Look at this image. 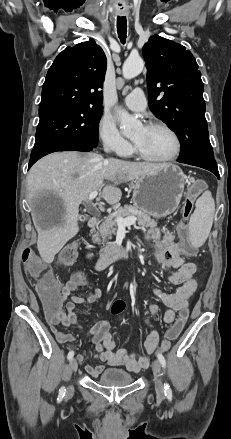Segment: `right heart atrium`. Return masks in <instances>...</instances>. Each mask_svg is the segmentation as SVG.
<instances>
[{"mask_svg": "<svg viewBox=\"0 0 231 439\" xmlns=\"http://www.w3.org/2000/svg\"><path fill=\"white\" fill-rule=\"evenodd\" d=\"M98 136L103 147L117 155H128L132 151L130 143L121 135L115 121L103 116L98 124Z\"/></svg>", "mask_w": 231, "mask_h": 439, "instance_id": "d8ad5b80", "label": "right heart atrium"}]
</instances>
